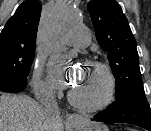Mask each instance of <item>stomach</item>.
<instances>
[{
	"label": "stomach",
	"instance_id": "0dacf381",
	"mask_svg": "<svg viewBox=\"0 0 151 131\" xmlns=\"http://www.w3.org/2000/svg\"><path fill=\"white\" fill-rule=\"evenodd\" d=\"M72 128L75 131H109L106 125L90 121L74 124Z\"/></svg>",
	"mask_w": 151,
	"mask_h": 131
}]
</instances>
